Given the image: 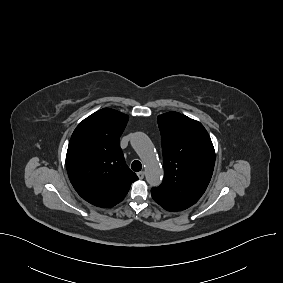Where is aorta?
Wrapping results in <instances>:
<instances>
[{"label": "aorta", "mask_w": 283, "mask_h": 283, "mask_svg": "<svg viewBox=\"0 0 283 283\" xmlns=\"http://www.w3.org/2000/svg\"><path fill=\"white\" fill-rule=\"evenodd\" d=\"M131 145L144 163L147 183L152 187L159 186L163 178V169L157 160L149 137L142 132H136L131 138Z\"/></svg>", "instance_id": "obj_1"}]
</instances>
